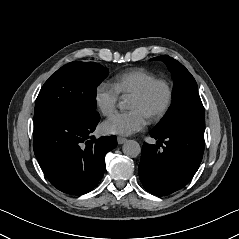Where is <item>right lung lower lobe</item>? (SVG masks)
Returning a JSON list of instances; mask_svg holds the SVG:
<instances>
[{"label":"right lung lower lobe","mask_w":239,"mask_h":239,"mask_svg":"<svg viewBox=\"0 0 239 239\" xmlns=\"http://www.w3.org/2000/svg\"><path fill=\"white\" fill-rule=\"evenodd\" d=\"M99 120L63 113L35 126V156L58 190L82 195L93 190L102 178L105 155L117 146V141L114 135L99 139L91 136Z\"/></svg>","instance_id":"1"}]
</instances>
